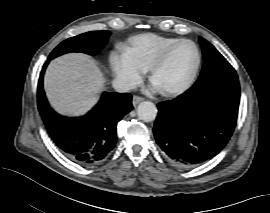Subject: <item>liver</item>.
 Masks as SVG:
<instances>
[{
	"instance_id": "6515ba94",
	"label": "liver",
	"mask_w": 270,
	"mask_h": 213,
	"mask_svg": "<svg viewBox=\"0 0 270 213\" xmlns=\"http://www.w3.org/2000/svg\"><path fill=\"white\" fill-rule=\"evenodd\" d=\"M104 83L93 60L83 54H67L53 60L47 68L44 87L56 111L80 115L97 101Z\"/></svg>"
}]
</instances>
